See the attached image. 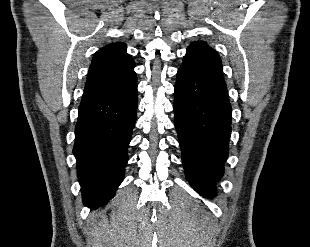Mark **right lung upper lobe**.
<instances>
[{"instance_id":"1","label":"right lung upper lobe","mask_w":310,"mask_h":247,"mask_svg":"<svg viewBox=\"0 0 310 247\" xmlns=\"http://www.w3.org/2000/svg\"><path fill=\"white\" fill-rule=\"evenodd\" d=\"M134 67L125 43L106 45L94 54L84 91L132 84L137 81Z\"/></svg>"}]
</instances>
